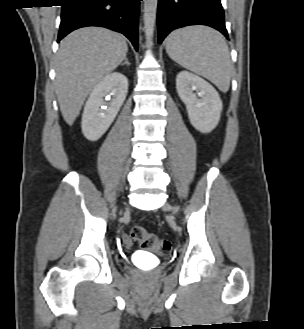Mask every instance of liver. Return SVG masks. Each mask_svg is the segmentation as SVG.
Masks as SVG:
<instances>
[{
  "instance_id": "1",
  "label": "liver",
  "mask_w": 304,
  "mask_h": 329,
  "mask_svg": "<svg viewBox=\"0 0 304 329\" xmlns=\"http://www.w3.org/2000/svg\"><path fill=\"white\" fill-rule=\"evenodd\" d=\"M122 35L101 27H85L65 37L55 60L56 95L62 116L72 125L89 93L126 58Z\"/></svg>"
}]
</instances>
